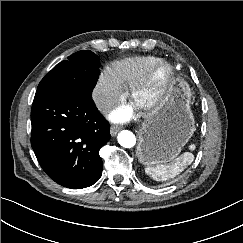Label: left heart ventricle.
Returning a JSON list of instances; mask_svg holds the SVG:
<instances>
[{"mask_svg": "<svg viewBox=\"0 0 243 243\" xmlns=\"http://www.w3.org/2000/svg\"><path fill=\"white\" fill-rule=\"evenodd\" d=\"M164 75H165V70L164 69H161L156 77H155V80L154 82L152 83V85L144 92L142 93L139 97H138V101H141V100H144V99H147L149 98L150 96H152L158 89L161 81L163 80L164 78Z\"/></svg>", "mask_w": 243, "mask_h": 243, "instance_id": "obj_1", "label": "left heart ventricle"}]
</instances>
